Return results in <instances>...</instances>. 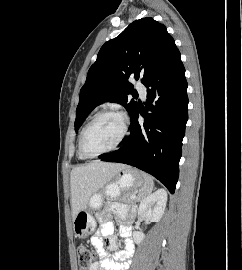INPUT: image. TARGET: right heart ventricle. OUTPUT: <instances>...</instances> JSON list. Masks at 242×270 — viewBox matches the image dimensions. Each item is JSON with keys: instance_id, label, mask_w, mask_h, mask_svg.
Segmentation results:
<instances>
[{"instance_id": "obj_1", "label": "right heart ventricle", "mask_w": 242, "mask_h": 270, "mask_svg": "<svg viewBox=\"0 0 242 270\" xmlns=\"http://www.w3.org/2000/svg\"><path fill=\"white\" fill-rule=\"evenodd\" d=\"M78 155H79V158H80V159H86L85 157H83V156L80 154L79 149H78Z\"/></svg>"}]
</instances>
